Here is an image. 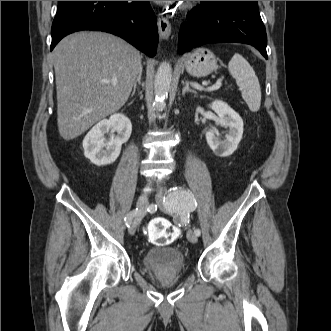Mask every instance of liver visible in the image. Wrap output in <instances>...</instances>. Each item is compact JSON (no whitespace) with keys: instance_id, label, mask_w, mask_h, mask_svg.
<instances>
[{"instance_id":"obj_1","label":"liver","mask_w":331,"mask_h":331,"mask_svg":"<svg viewBox=\"0 0 331 331\" xmlns=\"http://www.w3.org/2000/svg\"><path fill=\"white\" fill-rule=\"evenodd\" d=\"M52 57L57 125L67 141L117 112L128 100L142 70L138 50L103 32L70 34L57 44Z\"/></svg>"}]
</instances>
